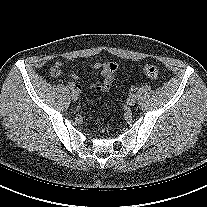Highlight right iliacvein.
<instances>
[{
    "instance_id": "1",
    "label": "right iliac vein",
    "mask_w": 207,
    "mask_h": 207,
    "mask_svg": "<svg viewBox=\"0 0 207 207\" xmlns=\"http://www.w3.org/2000/svg\"><path fill=\"white\" fill-rule=\"evenodd\" d=\"M71 96H72L73 100H78V98H79V93H78V91H77V90H73V91L71 92Z\"/></svg>"
}]
</instances>
